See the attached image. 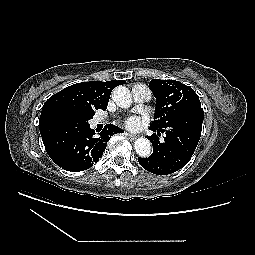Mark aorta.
Wrapping results in <instances>:
<instances>
[{"mask_svg": "<svg viewBox=\"0 0 255 255\" xmlns=\"http://www.w3.org/2000/svg\"><path fill=\"white\" fill-rule=\"evenodd\" d=\"M112 99L121 108H129L132 105V97L128 88L117 86L112 91ZM134 149L140 157H149L151 143L147 138L140 137L134 142Z\"/></svg>", "mask_w": 255, "mask_h": 255, "instance_id": "obj_1", "label": "aorta"}]
</instances>
